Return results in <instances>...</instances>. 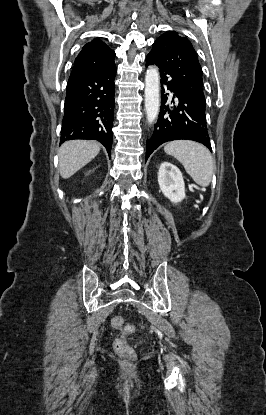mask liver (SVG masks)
<instances>
[{"instance_id": "1", "label": "liver", "mask_w": 266, "mask_h": 415, "mask_svg": "<svg viewBox=\"0 0 266 415\" xmlns=\"http://www.w3.org/2000/svg\"><path fill=\"white\" fill-rule=\"evenodd\" d=\"M100 152L96 141L71 140L62 144L59 150V171L67 179L94 159Z\"/></svg>"}]
</instances>
